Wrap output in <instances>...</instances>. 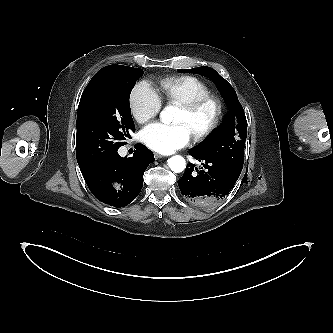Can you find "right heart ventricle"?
<instances>
[{
  "instance_id": "right-heart-ventricle-1",
  "label": "right heart ventricle",
  "mask_w": 333,
  "mask_h": 333,
  "mask_svg": "<svg viewBox=\"0 0 333 333\" xmlns=\"http://www.w3.org/2000/svg\"><path fill=\"white\" fill-rule=\"evenodd\" d=\"M161 98L170 104L181 106L210 94L209 87L193 76L168 77L160 82Z\"/></svg>"
}]
</instances>
